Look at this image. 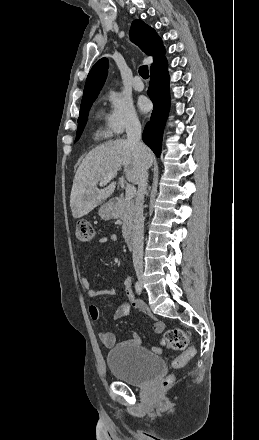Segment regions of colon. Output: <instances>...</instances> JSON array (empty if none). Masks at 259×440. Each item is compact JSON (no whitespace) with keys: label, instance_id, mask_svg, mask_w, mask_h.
Returning <instances> with one entry per match:
<instances>
[{"label":"colon","instance_id":"5ec220e1","mask_svg":"<svg viewBox=\"0 0 259 440\" xmlns=\"http://www.w3.org/2000/svg\"><path fill=\"white\" fill-rule=\"evenodd\" d=\"M76 237L81 243H89L94 237V229L91 223L87 221H80L76 227ZM162 343L168 349L181 351L177 356L172 366L174 368H181L186 365L195 355V348L191 345L188 334L179 328L167 330L163 336ZM173 381V376L169 375L162 383V387H168Z\"/></svg>","mask_w":259,"mask_h":440}]
</instances>
